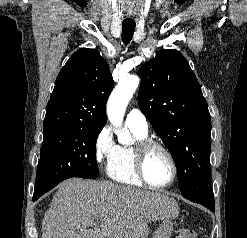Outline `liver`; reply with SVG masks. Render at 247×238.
<instances>
[{
  "label": "liver",
  "mask_w": 247,
  "mask_h": 238,
  "mask_svg": "<svg viewBox=\"0 0 247 238\" xmlns=\"http://www.w3.org/2000/svg\"><path fill=\"white\" fill-rule=\"evenodd\" d=\"M57 188L42 238H146L148 223L179 213L173 198L107 180L71 178Z\"/></svg>",
  "instance_id": "liver-1"
}]
</instances>
